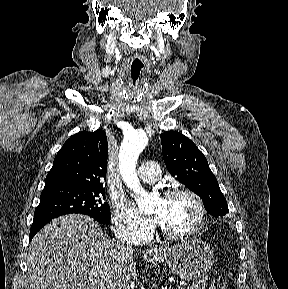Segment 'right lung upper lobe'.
<instances>
[{"label":"right lung upper lobe","mask_w":288,"mask_h":289,"mask_svg":"<svg viewBox=\"0 0 288 289\" xmlns=\"http://www.w3.org/2000/svg\"><path fill=\"white\" fill-rule=\"evenodd\" d=\"M107 152L104 131H82L73 135L58 151L46 176L44 189L103 187Z\"/></svg>","instance_id":"right-lung-upper-lobe-1"}]
</instances>
